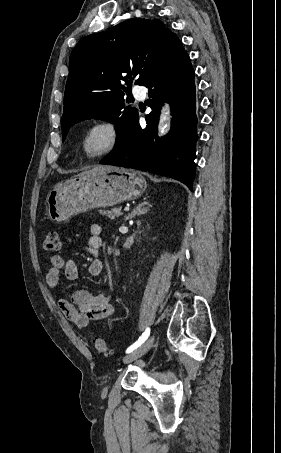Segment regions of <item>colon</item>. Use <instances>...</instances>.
I'll list each match as a JSON object with an SVG mask.
<instances>
[{
    "instance_id": "obj_1",
    "label": "colon",
    "mask_w": 281,
    "mask_h": 453,
    "mask_svg": "<svg viewBox=\"0 0 281 453\" xmlns=\"http://www.w3.org/2000/svg\"><path fill=\"white\" fill-rule=\"evenodd\" d=\"M43 247L46 252H59L61 250V231L50 230ZM93 347L101 354H107L109 349L107 341L103 338H96L93 342Z\"/></svg>"
}]
</instances>
